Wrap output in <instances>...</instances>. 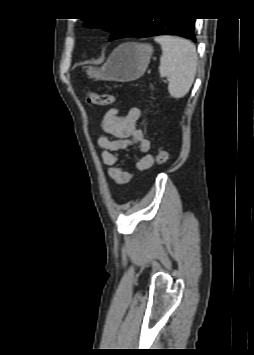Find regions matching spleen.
<instances>
[{
  "mask_svg": "<svg viewBox=\"0 0 254 355\" xmlns=\"http://www.w3.org/2000/svg\"><path fill=\"white\" fill-rule=\"evenodd\" d=\"M155 41L162 48L159 73L162 77H169V94L176 99L182 98L195 79L196 47L190 41L175 36H157Z\"/></svg>",
  "mask_w": 254,
  "mask_h": 355,
  "instance_id": "3e777b00",
  "label": "spleen"
}]
</instances>
